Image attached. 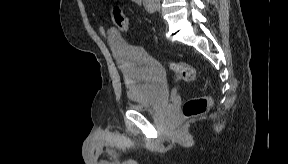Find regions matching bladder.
Listing matches in <instances>:
<instances>
[{"label": "bladder", "instance_id": "obj_1", "mask_svg": "<svg viewBox=\"0 0 288 164\" xmlns=\"http://www.w3.org/2000/svg\"><path fill=\"white\" fill-rule=\"evenodd\" d=\"M109 43L126 82L130 108L140 113H154L170 101V87L161 64L145 51L118 35Z\"/></svg>", "mask_w": 288, "mask_h": 164}]
</instances>
